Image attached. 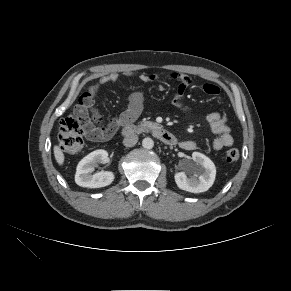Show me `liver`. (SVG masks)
<instances>
[{
    "label": "liver",
    "instance_id": "obj_1",
    "mask_svg": "<svg viewBox=\"0 0 291 291\" xmlns=\"http://www.w3.org/2000/svg\"><path fill=\"white\" fill-rule=\"evenodd\" d=\"M53 150H54V156H55L57 163L60 166L63 165L65 157H64V154H63L61 148L59 146L55 145Z\"/></svg>",
    "mask_w": 291,
    "mask_h": 291
}]
</instances>
